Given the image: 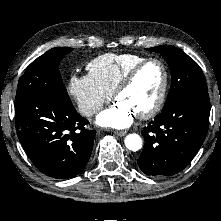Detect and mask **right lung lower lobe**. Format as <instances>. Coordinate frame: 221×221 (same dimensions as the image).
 I'll list each match as a JSON object with an SVG mask.
<instances>
[{
	"label": "right lung lower lobe",
	"mask_w": 221,
	"mask_h": 221,
	"mask_svg": "<svg viewBox=\"0 0 221 221\" xmlns=\"http://www.w3.org/2000/svg\"><path fill=\"white\" fill-rule=\"evenodd\" d=\"M18 138L32 163L45 175L73 178L91 155L96 132L71 102L37 95L15 104Z\"/></svg>",
	"instance_id": "98d812e1"
}]
</instances>
